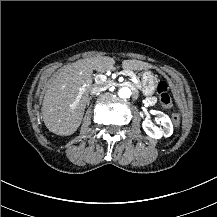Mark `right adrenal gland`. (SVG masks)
I'll use <instances>...</instances> for the list:
<instances>
[{
    "mask_svg": "<svg viewBox=\"0 0 217 217\" xmlns=\"http://www.w3.org/2000/svg\"><path fill=\"white\" fill-rule=\"evenodd\" d=\"M92 99H93V97H92V96L88 98V100H87V105H89V104H90V101H91Z\"/></svg>",
    "mask_w": 217,
    "mask_h": 217,
    "instance_id": "1",
    "label": "right adrenal gland"
}]
</instances>
